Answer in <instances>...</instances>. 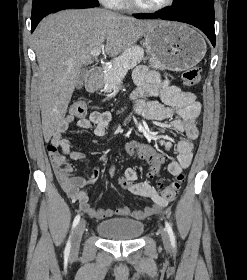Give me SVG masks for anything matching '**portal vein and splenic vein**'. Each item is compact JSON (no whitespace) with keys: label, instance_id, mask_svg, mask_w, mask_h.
Here are the masks:
<instances>
[{"label":"portal vein and splenic vein","instance_id":"1","mask_svg":"<svg viewBox=\"0 0 247 280\" xmlns=\"http://www.w3.org/2000/svg\"><path fill=\"white\" fill-rule=\"evenodd\" d=\"M101 50H102V47L96 48V49H94L93 51H91V55H92L93 57H97V56H99V54L101 53Z\"/></svg>","mask_w":247,"mask_h":280}]
</instances>
